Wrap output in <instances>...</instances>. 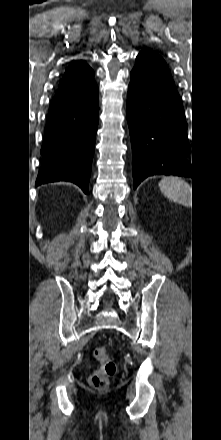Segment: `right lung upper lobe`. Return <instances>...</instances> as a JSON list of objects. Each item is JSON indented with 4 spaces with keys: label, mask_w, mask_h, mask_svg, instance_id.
Returning <instances> with one entry per match:
<instances>
[{
    "label": "right lung upper lobe",
    "mask_w": 221,
    "mask_h": 440,
    "mask_svg": "<svg viewBox=\"0 0 221 440\" xmlns=\"http://www.w3.org/2000/svg\"><path fill=\"white\" fill-rule=\"evenodd\" d=\"M93 70L84 62L77 61L66 70L59 87H70L93 79Z\"/></svg>",
    "instance_id": "obj_1"
}]
</instances>
